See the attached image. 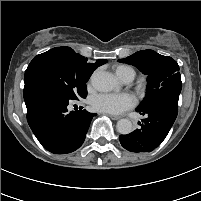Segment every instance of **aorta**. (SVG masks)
Returning a JSON list of instances; mask_svg holds the SVG:
<instances>
[{
	"label": "aorta",
	"instance_id": "obj_1",
	"mask_svg": "<svg viewBox=\"0 0 201 201\" xmlns=\"http://www.w3.org/2000/svg\"><path fill=\"white\" fill-rule=\"evenodd\" d=\"M92 86L99 92H109L118 87L114 76L106 71H95L91 76ZM117 130L120 134L127 135L133 131L132 122L129 119H120L117 122Z\"/></svg>",
	"mask_w": 201,
	"mask_h": 201
}]
</instances>
